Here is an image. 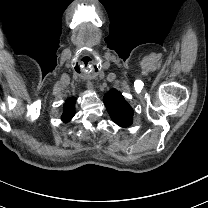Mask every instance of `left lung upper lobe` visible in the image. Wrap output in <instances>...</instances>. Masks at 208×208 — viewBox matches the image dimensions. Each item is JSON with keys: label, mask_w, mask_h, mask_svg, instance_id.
<instances>
[{"label": "left lung upper lobe", "mask_w": 208, "mask_h": 208, "mask_svg": "<svg viewBox=\"0 0 208 208\" xmlns=\"http://www.w3.org/2000/svg\"><path fill=\"white\" fill-rule=\"evenodd\" d=\"M106 109L112 120L120 127L132 124L133 109L116 89L108 91L103 98Z\"/></svg>", "instance_id": "left-lung-upper-lobe-1"}]
</instances>
